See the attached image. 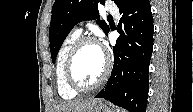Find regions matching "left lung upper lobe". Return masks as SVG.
Returning a JSON list of instances; mask_svg holds the SVG:
<instances>
[{
	"label": "left lung upper lobe",
	"instance_id": "1",
	"mask_svg": "<svg viewBox=\"0 0 193 112\" xmlns=\"http://www.w3.org/2000/svg\"><path fill=\"white\" fill-rule=\"evenodd\" d=\"M119 10L129 0H114ZM104 0H56L52 7V17L49 28L50 51L53 63L58 51L71 31V29L83 20L98 19L97 24L107 34L109 25L99 20L98 4Z\"/></svg>",
	"mask_w": 193,
	"mask_h": 112
}]
</instances>
